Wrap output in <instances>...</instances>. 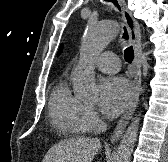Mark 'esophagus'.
<instances>
[{"instance_id": "34e87169", "label": "esophagus", "mask_w": 168, "mask_h": 162, "mask_svg": "<svg viewBox=\"0 0 168 162\" xmlns=\"http://www.w3.org/2000/svg\"><path fill=\"white\" fill-rule=\"evenodd\" d=\"M123 18L127 25L129 40L134 48V67H135V74L133 80V98L131 104L127 110V112L123 115V117L118 121L115 130L113 131L110 142H115L119 140L121 135L123 134L129 120L131 119L132 115L135 112L137 107L139 96L142 90L141 87V55H142V47H141V30L138 22L133 18L131 12L128 10L126 6L125 0H118Z\"/></svg>"}]
</instances>
